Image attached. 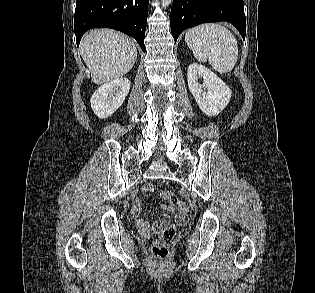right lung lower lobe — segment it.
Masks as SVG:
<instances>
[{"instance_id": "obj_1", "label": "right lung lower lobe", "mask_w": 315, "mask_h": 293, "mask_svg": "<svg viewBox=\"0 0 315 293\" xmlns=\"http://www.w3.org/2000/svg\"><path fill=\"white\" fill-rule=\"evenodd\" d=\"M149 0H76L74 29L77 46L92 28H112L136 39L142 50Z\"/></svg>"}]
</instances>
